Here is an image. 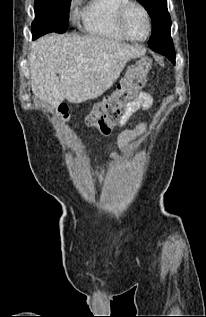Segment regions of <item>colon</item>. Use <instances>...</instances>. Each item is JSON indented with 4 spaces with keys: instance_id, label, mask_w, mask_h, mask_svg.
<instances>
[{
    "instance_id": "1",
    "label": "colon",
    "mask_w": 206,
    "mask_h": 317,
    "mask_svg": "<svg viewBox=\"0 0 206 317\" xmlns=\"http://www.w3.org/2000/svg\"><path fill=\"white\" fill-rule=\"evenodd\" d=\"M151 66L152 61L149 59H142L130 66L116 90L94 106L86 121L99 135L109 134L122 120L128 104L146 85ZM60 112L66 114V109L60 108Z\"/></svg>"
}]
</instances>
